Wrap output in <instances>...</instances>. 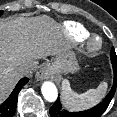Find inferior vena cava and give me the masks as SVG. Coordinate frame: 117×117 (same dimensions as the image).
I'll use <instances>...</instances> for the list:
<instances>
[{
  "label": "inferior vena cava",
  "mask_w": 117,
  "mask_h": 117,
  "mask_svg": "<svg viewBox=\"0 0 117 117\" xmlns=\"http://www.w3.org/2000/svg\"><path fill=\"white\" fill-rule=\"evenodd\" d=\"M24 75L30 72V68L28 66H22L19 69Z\"/></svg>",
  "instance_id": "obj_1"
}]
</instances>
